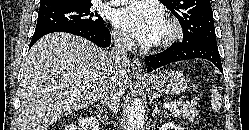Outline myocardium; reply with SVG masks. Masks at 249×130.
<instances>
[{
    "label": "myocardium",
    "mask_w": 249,
    "mask_h": 130,
    "mask_svg": "<svg viewBox=\"0 0 249 130\" xmlns=\"http://www.w3.org/2000/svg\"><path fill=\"white\" fill-rule=\"evenodd\" d=\"M167 34L158 41L156 47L159 49L167 48L178 42L183 37V28L180 22L174 17L165 20Z\"/></svg>",
    "instance_id": "myocardium-1"
}]
</instances>
